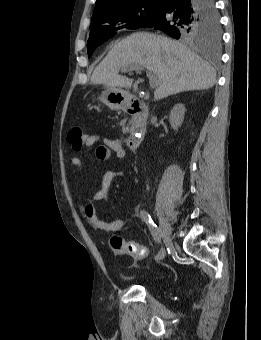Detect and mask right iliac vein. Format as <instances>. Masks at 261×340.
<instances>
[{"mask_svg":"<svg viewBox=\"0 0 261 340\" xmlns=\"http://www.w3.org/2000/svg\"><path fill=\"white\" fill-rule=\"evenodd\" d=\"M162 239L165 244H169L172 241L171 238V228L168 221L164 217H160L159 219Z\"/></svg>","mask_w":261,"mask_h":340,"instance_id":"1","label":"right iliac vein"}]
</instances>
